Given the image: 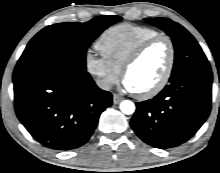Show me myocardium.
<instances>
[{
  "label": "myocardium",
  "mask_w": 220,
  "mask_h": 173,
  "mask_svg": "<svg viewBox=\"0 0 220 173\" xmlns=\"http://www.w3.org/2000/svg\"><path fill=\"white\" fill-rule=\"evenodd\" d=\"M160 40H165L168 43L169 46V61L167 68L161 77V79L149 90L145 92H134L133 94L136 98L141 100H146L155 97L158 95L168 84L175 67V61H176V49L173 40L171 37L165 34H157L153 37H150L149 39L143 41L128 57L126 62L123 65L122 68V77L125 79L128 71L131 69V67L143 56V54L156 42Z\"/></svg>",
  "instance_id": "obj_1"
}]
</instances>
